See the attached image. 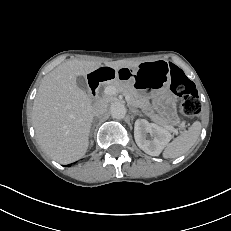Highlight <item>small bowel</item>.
Returning a JSON list of instances; mask_svg holds the SVG:
<instances>
[{"label": "small bowel", "mask_w": 231, "mask_h": 231, "mask_svg": "<svg viewBox=\"0 0 231 231\" xmlns=\"http://www.w3.org/2000/svg\"><path fill=\"white\" fill-rule=\"evenodd\" d=\"M125 71H129V69L126 68Z\"/></svg>", "instance_id": "1"}]
</instances>
